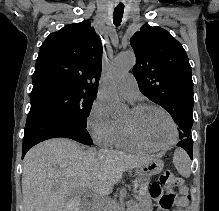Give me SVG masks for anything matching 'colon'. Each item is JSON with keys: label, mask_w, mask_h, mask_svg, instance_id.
Masks as SVG:
<instances>
[{"label": "colon", "mask_w": 219, "mask_h": 211, "mask_svg": "<svg viewBox=\"0 0 219 211\" xmlns=\"http://www.w3.org/2000/svg\"><path fill=\"white\" fill-rule=\"evenodd\" d=\"M159 182L169 192L172 191L173 188L178 189V196L176 198L174 195L170 196L173 199V203L179 208H182L188 201V192L184 186L182 178L175 175L171 170H166L160 175Z\"/></svg>", "instance_id": "colon-1"}]
</instances>
